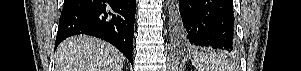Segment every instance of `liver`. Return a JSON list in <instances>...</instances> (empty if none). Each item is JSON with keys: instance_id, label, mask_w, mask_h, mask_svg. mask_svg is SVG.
I'll return each instance as SVG.
<instances>
[{"instance_id": "6515ba94", "label": "liver", "mask_w": 301, "mask_h": 71, "mask_svg": "<svg viewBox=\"0 0 301 71\" xmlns=\"http://www.w3.org/2000/svg\"><path fill=\"white\" fill-rule=\"evenodd\" d=\"M55 55L56 71H122L124 64L114 46L86 35L64 40Z\"/></svg>"}]
</instances>
